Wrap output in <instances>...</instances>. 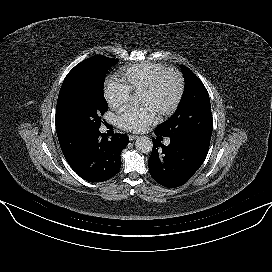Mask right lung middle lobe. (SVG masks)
<instances>
[{"mask_svg":"<svg viewBox=\"0 0 272 272\" xmlns=\"http://www.w3.org/2000/svg\"><path fill=\"white\" fill-rule=\"evenodd\" d=\"M118 62L102 55L76 65L61 86L56 118L72 132L93 136L101 126V116L108 110L103 87L107 71Z\"/></svg>","mask_w":272,"mask_h":272,"instance_id":"1","label":"right lung middle lobe"}]
</instances>
